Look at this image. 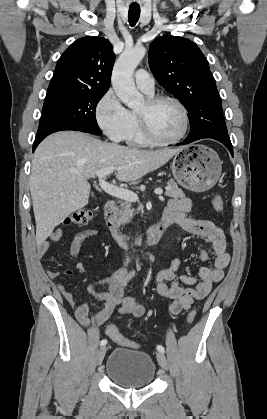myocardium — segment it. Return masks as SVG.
Returning <instances> with one entry per match:
<instances>
[{"mask_svg": "<svg viewBox=\"0 0 267 419\" xmlns=\"http://www.w3.org/2000/svg\"><path fill=\"white\" fill-rule=\"evenodd\" d=\"M169 101L174 103L181 111L182 117H183V128L178 136H176L173 139H161L158 136L154 134L152 131L148 117L145 113H136V117L139 123V127L141 130V133L145 137V139L155 145H172L180 142L185 135L187 134L188 128H189V113L185 105L176 97L170 96V95H156V96H150L146 99V104L149 109L155 107L157 104Z\"/></svg>", "mask_w": 267, "mask_h": 419, "instance_id": "1", "label": "myocardium"}]
</instances>
